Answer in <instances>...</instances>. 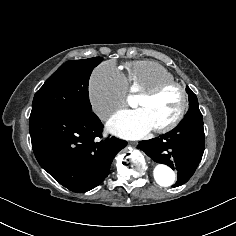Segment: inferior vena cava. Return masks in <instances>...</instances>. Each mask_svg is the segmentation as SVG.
Returning a JSON list of instances; mask_svg holds the SVG:
<instances>
[{
  "label": "inferior vena cava",
  "mask_w": 236,
  "mask_h": 236,
  "mask_svg": "<svg viewBox=\"0 0 236 236\" xmlns=\"http://www.w3.org/2000/svg\"><path fill=\"white\" fill-rule=\"evenodd\" d=\"M110 113V107L105 106L101 111L98 112V115L102 118H106V116Z\"/></svg>",
  "instance_id": "inferior-vena-cava-1"
}]
</instances>
